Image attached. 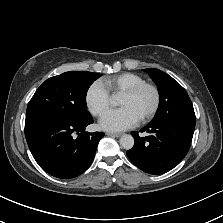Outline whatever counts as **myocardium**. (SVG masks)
I'll return each mask as SVG.
<instances>
[{"label": "myocardium", "instance_id": "1", "mask_svg": "<svg viewBox=\"0 0 223 223\" xmlns=\"http://www.w3.org/2000/svg\"><path fill=\"white\" fill-rule=\"evenodd\" d=\"M144 89H149L152 92L153 104H152V107L150 108V110L146 114H144L140 118V120H147L156 114V112L159 108V104H160V94H159L158 88L151 83L143 82L122 94V96L134 97Z\"/></svg>", "mask_w": 223, "mask_h": 223}]
</instances>
